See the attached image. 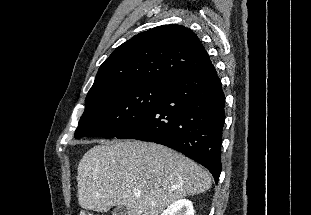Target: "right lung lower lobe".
Returning a JSON list of instances; mask_svg holds the SVG:
<instances>
[{
    "instance_id": "98d812e1",
    "label": "right lung lower lobe",
    "mask_w": 311,
    "mask_h": 215,
    "mask_svg": "<svg viewBox=\"0 0 311 215\" xmlns=\"http://www.w3.org/2000/svg\"><path fill=\"white\" fill-rule=\"evenodd\" d=\"M224 107L222 84L211 63L166 83L160 103L116 138L155 142L175 149L206 167L217 183Z\"/></svg>"
}]
</instances>
